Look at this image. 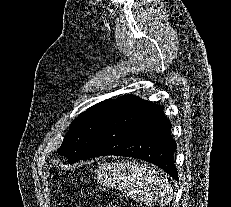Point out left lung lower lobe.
<instances>
[{"label":"left lung lower lobe","mask_w":231,"mask_h":207,"mask_svg":"<svg viewBox=\"0 0 231 207\" xmlns=\"http://www.w3.org/2000/svg\"><path fill=\"white\" fill-rule=\"evenodd\" d=\"M170 129L162 106L132 96L110 116L80 160L104 155L138 158L179 180Z\"/></svg>","instance_id":"0a47b994"}]
</instances>
